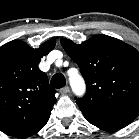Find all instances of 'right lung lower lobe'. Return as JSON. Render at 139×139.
Wrapping results in <instances>:
<instances>
[{
  "label": "right lung lower lobe",
  "instance_id": "1",
  "mask_svg": "<svg viewBox=\"0 0 139 139\" xmlns=\"http://www.w3.org/2000/svg\"><path fill=\"white\" fill-rule=\"evenodd\" d=\"M49 117H47L45 120H43L41 123H39L38 125L30 128L29 130L17 135V137H20V138H26V137H29L33 134H36L40 129H42L45 124L47 123Z\"/></svg>",
  "mask_w": 139,
  "mask_h": 139
}]
</instances>
